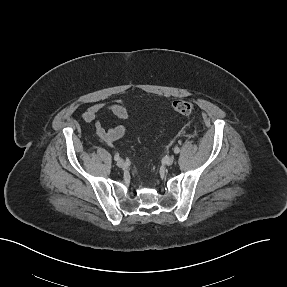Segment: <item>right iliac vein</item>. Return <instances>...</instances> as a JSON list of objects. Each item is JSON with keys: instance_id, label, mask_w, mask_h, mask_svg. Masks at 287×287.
<instances>
[{"instance_id": "1", "label": "right iliac vein", "mask_w": 287, "mask_h": 287, "mask_svg": "<svg viewBox=\"0 0 287 287\" xmlns=\"http://www.w3.org/2000/svg\"><path fill=\"white\" fill-rule=\"evenodd\" d=\"M117 166L120 167V168H123L125 166V162L122 159H119L117 161Z\"/></svg>"}]
</instances>
